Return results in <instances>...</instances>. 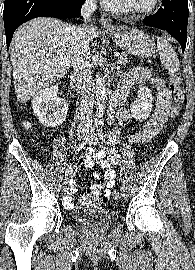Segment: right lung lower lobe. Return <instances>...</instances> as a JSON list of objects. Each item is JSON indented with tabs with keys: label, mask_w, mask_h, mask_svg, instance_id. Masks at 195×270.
<instances>
[{
	"label": "right lung lower lobe",
	"mask_w": 195,
	"mask_h": 270,
	"mask_svg": "<svg viewBox=\"0 0 195 270\" xmlns=\"http://www.w3.org/2000/svg\"><path fill=\"white\" fill-rule=\"evenodd\" d=\"M84 0H5L3 19L9 48L15 29L36 17L75 18Z\"/></svg>",
	"instance_id": "obj_1"
}]
</instances>
